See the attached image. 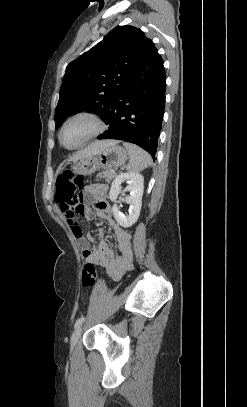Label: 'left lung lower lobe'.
<instances>
[{
  "instance_id": "1",
  "label": "left lung lower lobe",
  "mask_w": 247,
  "mask_h": 407,
  "mask_svg": "<svg viewBox=\"0 0 247 407\" xmlns=\"http://www.w3.org/2000/svg\"><path fill=\"white\" fill-rule=\"evenodd\" d=\"M166 75L156 50L146 65L124 86L98 139H117L145 149L153 159L165 107Z\"/></svg>"
}]
</instances>
